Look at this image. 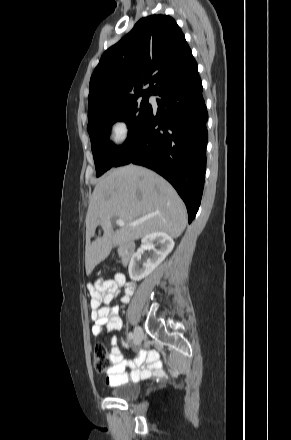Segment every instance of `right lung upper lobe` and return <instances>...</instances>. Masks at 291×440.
Listing matches in <instances>:
<instances>
[{
  "label": "right lung upper lobe",
  "mask_w": 291,
  "mask_h": 440,
  "mask_svg": "<svg viewBox=\"0 0 291 440\" xmlns=\"http://www.w3.org/2000/svg\"><path fill=\"white\" fill-rule=\"evenodd\" d=\"M197 63L175 20L151 15L101 57L90 79L88 111L137 95L155 94ZM149 83V88L141 90Z\"/></svg>",
  "instance_id": "cb5924a9"
}]
</instances>
